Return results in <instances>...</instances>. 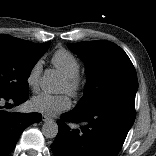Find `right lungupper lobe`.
<instances>
[{"instance_id":"cb5924a9","label":"right lung upper lobe","mask_w":156,"mask_h":156,"mask_svg":"<svg viewBox=\"0 0 156 156\" xmlns=\"http://www.w3.org/2000/svg\"><path fill=\"white\" fill-rule=\"evenodd\" d=\"M1 35V34H0ZM5 35V34H4ZM14 38V37H13ZM17 40H20V41H23V42H30V41H26V40H22V39H18V38H15ZM33 43V42H32Z\"/></svg>"}]
</instances>
